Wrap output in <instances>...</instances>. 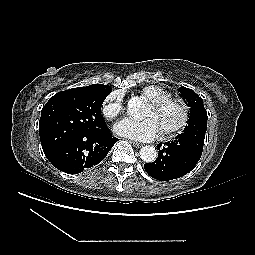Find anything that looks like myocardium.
<instances>
[{"label": "myocardium", "instance_id": "1", "mask_svg": "<svg viewBox=\"0 0 255 255\" xmlns=\"http://www.w3.org/2000/svg\"><path fill=\"white\" fill-rule=\"evenodd\" d=\"M150 104L158 111H161L169 106H174L179 109L181 118L177 124L165 129L162 132V137L165 139L171 138L181 133L189 124L191 118V110L188 104L178 97L168 96L166 98L150 102Z\"/></svg>", "mask_w": 255, "mask_h": 255}]
</instances>
